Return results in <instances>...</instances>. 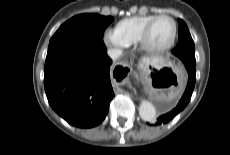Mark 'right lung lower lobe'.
<instances>
[{
  "mask_svg": "<svg viewBox=\"0 0 230 155\" xmlns=\"http://www.w3.org/2000/svg\"><path fill=\"white\" fill-rule=\"evenodd\" d=\"M104 49H69L46 57L44 86L53 110L80 128L99 125L114 97Z\"/></svg>",
  "mask_w": 230,
  "mask_h": 155,
  "instance_id": "obj_1",
  "label": "right lung lower lobe"
}]
</instances>
